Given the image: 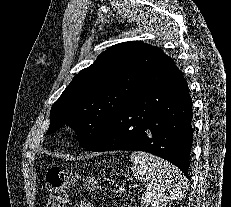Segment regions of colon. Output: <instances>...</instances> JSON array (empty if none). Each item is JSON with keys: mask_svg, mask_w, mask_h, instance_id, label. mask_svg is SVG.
I'll return each instance as SVG.
<instances>
[{"mask_svg": "<svg viewBox=\"0 0 231 207\" xmlns=\"http://www.w3.org/2000/svg\"><path fill=\"white\" fill-rule=\"evenodd\" d=\"M48 185V201L46 207H65L67 202L68 188L83 183L88 190L99 189L98 180L90 175H83L72 170H62L58 167H51L46 173Z\"/></svg>", "mask_w": 231, "mask_h": 207, "instance_id": "colon-1", "label": "colon"}]
</instances>
